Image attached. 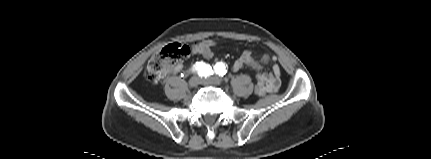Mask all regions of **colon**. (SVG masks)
Wrapping results in <instances>:
<instances>
[{"instance_id":"1","label":"colon","mask_w":431,"mask_h":159,"mask_svg":"<svg viewBox=\"0 0 431 159\" xmlns=\"http://www.w3.org/2000/svg\"><path fill=\"white\" fill-rule=\"evenodd\" d=\"M195 54L204 56H213L216 50L212 47L199 46L195 49ZM191 50L188 46L173 43L165 46L160 51L156 52L148 62L145 71V77L150 82L159 81L162 76L170 70V68L185 60L190 55ZM260 85L258 83L252 84L253 97H258Z\"/></svg>"}]
</instances>
